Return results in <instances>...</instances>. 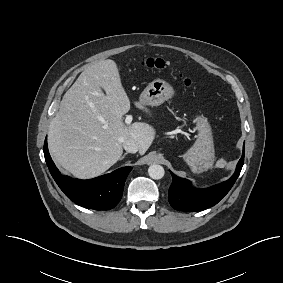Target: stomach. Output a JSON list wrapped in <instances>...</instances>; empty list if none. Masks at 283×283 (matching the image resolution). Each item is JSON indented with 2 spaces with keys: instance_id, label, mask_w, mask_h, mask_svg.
<instances>
[{
  "instance_id": "obj_1",
  "label": "stomach",
  "mask_w": 283,
  "mask_h": 283,
  "mask_svg": "<svg viewBox=\"0 0 283 283\" xmlns=\"http://www.w3.org/2000/svg\"><path fill=\"white\" fill-rule=\"evenodd\" d=\"M175 94L173 87L164 79L153 80L140 94L139 102L145 106H158L172 98ZM198 131L193 146L184 154V159L194 171H202L212 164L214 159V142L211 125L203 115L194 119Z\"/></svg>"
}]
</instances>
